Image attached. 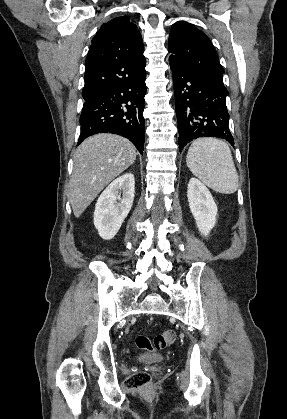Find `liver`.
<instances>
[{
	"label": "liver",
	"instance_id": "6515ba94",
	"mask_svg": "<svg viewBox=\"0 0 287 419\" xmlns=\"http://www.w3.org/2000/svg\"><path fill=\"white\" fill-rule=\"evenodd\" d=\"M136 155L128 139L109 133L93 135L78 146L68 194L76 218L105 186L134 163Z\"/></svg>",
	"mask_w": 287,
	"mask_h": 419
}]
</instances>
